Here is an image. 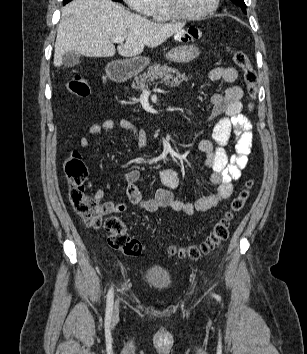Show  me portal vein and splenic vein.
I'll use <instances>...</instances> for the list:
<instances>
[{
	"label": "portal vein and splenic vein",
	"instance_id": "obj_1",
	"mask_svg": "<svg viewBox=\"0 0 307 354\" xmlns=\"http://www.w3.org/2000/svg\"><path fill=\"white\" fill-rule=\"evenodd\" d=\"M124 38L123 37H113L112 38V41H113V43H120V44H122L123 42H124ZM144 89V91H147V89L146 88H143Z\"/></svg>",
	"mask_w": 307,
	"mask_h": 354
}]
</instances>
